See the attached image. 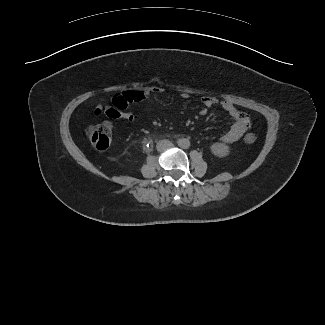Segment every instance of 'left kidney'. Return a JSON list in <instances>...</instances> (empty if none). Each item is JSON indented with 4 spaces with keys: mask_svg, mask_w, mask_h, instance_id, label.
<instances>
[{
    "mask_svg": "<svg viewBox=\"0 0 325 325\" xmlns=\"http://www.w3.org/2000/svg\"><path fill=\"white\" fill-rule=\"evenodd\" d=\"M211 152L220 158L226 157L229 155V147L224 143H214L210 147Z\"/></svg>",
    "mask_w": 325,
    "mask_h": 325,
    "instance_id": "left-kidney-1",
    "label": "left kidney"
}]
</instances>
